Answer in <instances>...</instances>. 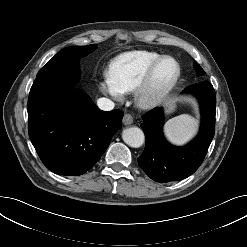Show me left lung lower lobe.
Listing matches in <instances>:
<instances>
[{"instance_id": "0a47b994", "label": "left lung lower lobe", "mask_w": 247, "mask_h": 247, "mask_svg": "<svg viewBox=\"0 0 247 247\" xmlns=\"http://www.w3.org/2000/svg\"><path fill=\"white\" fill-rule=\"evenodd\" d=\"M200 102L202 123L198 136L183 147L169 144L162 133L163 112L154 108L142 119L146 133L145 149L138 158L140 168L156 182L179 181L192 175L203 162L215 133L216 94L208 81L185 88Z\"/></svg>"}]
</instances>
